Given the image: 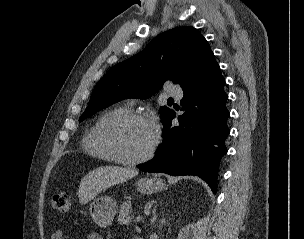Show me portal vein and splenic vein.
<instances>
[{
    "instance_id": "portal-vein-and-splenic-vein-1",
    "label": "portal vein and splenic vein",
    "mask_w": 304,
    "mask_h": 239,
    "mask_svg": "<svg viewBox=\"0 0 304 239\" xmlns=\"http://www.w3.org/2000/svg\"><path fill=\"white\" fill-rule=\"evenodd\" d=\"M137 222H140L142 220V216L141 215H138L135 219Z\"/></svg>"
}]
</instances>
